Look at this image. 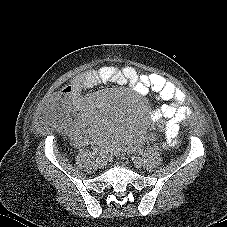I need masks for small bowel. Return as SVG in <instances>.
Wrapping results in <instances>:
<instances>
[{
	"label": "small bowel",
	"instance_id": "c3829d8e",
	"mask_svg": "<svg viewBox=\"0 0 227 227\" xmlns=\"http://www.w3.org/2000/svg\"><path fill=\"white\" fill-rule=\"evenodd\" d=\"M104 82L130 85L140 96L147 95L149 91L155 92L158 98L164 101L151 114L152 121L158 123L160 130L164 132L162 146L167 149L177 144L179 136L177 127L189 115L190 110L184 104L186 97L184 91L159 74H139L133 67L104 66L88 70L73 77L68 85L51 98V102H61L68 110L82 109L87 102L82 96L83 92ZM86 123L83 115L75 123L63 118L59 121V129L69 134L74 143L80 146L87 140L84 130Z\"/></svg>",
	"mask_w": 227,
	"mask_h": 227
}]
</instances>
